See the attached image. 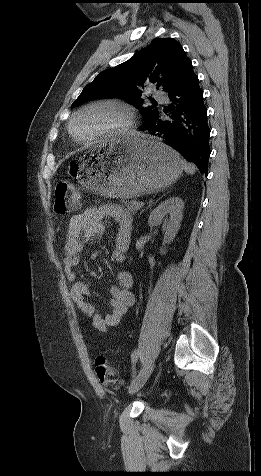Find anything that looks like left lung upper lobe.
I'll return each instance as SVG.
<instances>
[{
    "label": "left lung upper lobe",
    "instance_id": "1",
    "mask_svg": "<svg viewBox=\"0 0 261 476\" xmlns=\"http://www.w3.org/2000/svg\"><path fill=\"white\" fill-rule=\"evenodd\" d=\"M191 65L177 41L157 38L128 61L99 73L84 87L72 106L99 98H122L140 109L143 125H146L158 116L159 111L153 105L142 107L144 86L153 83L169 93L179 85Z\"/></svg>",
    "mask_w": 261,
    "mask_h": 476
}]
</instances>
